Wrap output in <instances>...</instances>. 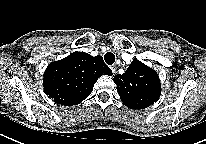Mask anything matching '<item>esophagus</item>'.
I'll return each instance as SVG.
<instances>
[{
    "mask_svg": "<svg viewBox=\"0 0 206 144\" xmlns=\"http://www.w3.org/2000/svg\"><path fill=\"white\" fill-rule=\"evenodd\" d=\"M110 69H111L112 73L115 74L117 67H116V65H111Z\"/></svg>",
    "mask_w": 206,
    "mask_h": 144,
    "instance_id": "esophagus-1",
    "label": "esophagus"
}]
</instances>
